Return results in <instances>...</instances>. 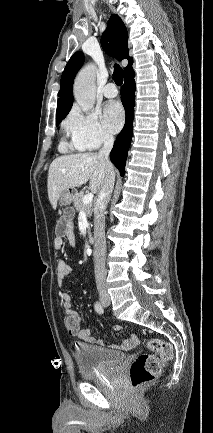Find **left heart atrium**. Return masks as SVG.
<instances>
[{
    "instance_id": "39dd6f15",
    "label": "left heart atrium",
    "mask_w": 213,
    "mask_h": 433,
    "mask_svg": "<svg viewBox=\"0 0 213 433\" xmlns=\"http://www.w3.org/2000/svg\"><path fill=\"white\" fill-rule=\"evenodd\" d=\"M125 121L124 110L120 103L113 101L109 102L103 112V122L105 126L112 132H118Z\"/></svg>"
}]
</instances>
